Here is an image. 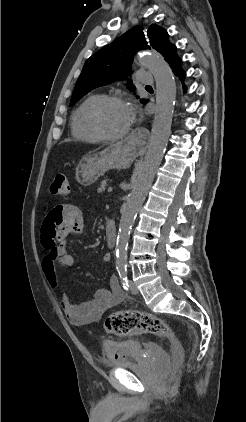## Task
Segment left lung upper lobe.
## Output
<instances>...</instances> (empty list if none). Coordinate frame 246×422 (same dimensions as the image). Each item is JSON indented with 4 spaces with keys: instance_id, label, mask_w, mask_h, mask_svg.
<instances>
[{
    "instance_id": "5c2ea615",
    "label": "left lung upper lobe",
    "mask_w": 246,
    "mask_h": 422,
    "mask_svg": "<svg viewBox=\"0 0 246 422\" xmlns=\"http://www.w3.org/2000/svg\"><path fill=\"white\" fill-rule=\"evenodd\" d=\"M144 49H155L167 61L177 48L170 43L167 31L156 24H152L148 30L133 27L87 59L76 83L70 106L91 90L122 79L130 68L135 53ZM128 88L132 91L135 89L134 85H128ZM147 101L141 99L143 104Z\"/></svg>"
}]
</instances>
